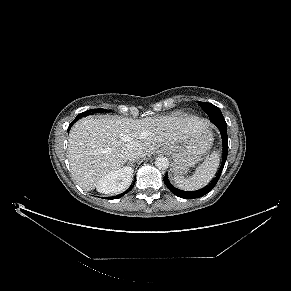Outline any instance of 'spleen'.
<instances>
[{"label": "spleen", "mask_w": 291, "mask_h": 291, "mask_svg": "<svg viewBox=\"0 0 291 291\" xmlns=\"http://www.w3.org/2000/svg\"><path fill=\"white\" fill-rule=\"evenodd\" d=\"M220 164L219 154L213 152L204 162L196 169L195 173L189 177H174L175 185L185 191L198 190L206 186L215 176Z\"/></svg>", "instance_id": "spleen-1"}]
</instances>
